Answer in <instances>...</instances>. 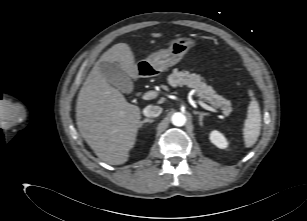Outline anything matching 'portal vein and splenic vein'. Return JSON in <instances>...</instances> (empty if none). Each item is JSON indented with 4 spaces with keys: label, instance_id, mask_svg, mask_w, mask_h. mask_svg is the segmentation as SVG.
<instances>
[{
    "label": "portal vein and splenic vein",
    "instance_id": "portal-vein-and-splenic-vein-1",
    "mask_svg": "<svg viewBox=\"0 0 307 221\" xmlns=\"http://www.w3.org/2000/svg\"><path fill=\"white\" fill-rule=\"evenodd\" d=\"M157 92L156 91H149L147 93H145L143 96H142V99L143 100H150V99H154L157 97ZM198 103L201 107H203L204 109L208 110V111H211V112H217L216 109H214L213 107L205 104L203 101L201 100H198Z\"/></svg>",
    "mask_w": 307,
    "mask_h": 221
}]
</instances>
